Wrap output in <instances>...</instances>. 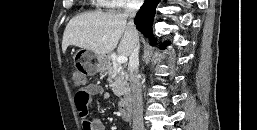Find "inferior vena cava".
Wrapping results in <instances>:
<instances>
[{"instance_id":"inferior-vena-cava-1","label":"inferior vena cava","mask_w":257,"mask_h":130,"mask_svg":"<svg viewBox=\"0 0 257 130\" xmlns=\"http://www.w3.org/2000/svg\"><path fill=\"white\" fill-rule=\"evenodd\" d=\"M140 7V0H132V4L125 10L123 16L129 22L127 23L128 28L132 34V51L129 56V81L132 91L131 106H132V122L133 130H144L143 125V109H142V94L141 85L138 76L139 69V36L134 24V17Z\"/></svg>"}]
</instances>
